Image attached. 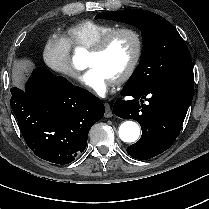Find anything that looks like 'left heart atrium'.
Returning a JSON list of instances; mask_svg holds the SVG:
<instances>
[{
    "label": "left heart atrium",
    "mask_w": 209,
    "mask_h": 209,
    "mask_svg": "<svg viewBox=\"0 0 209 209\" xmlns=\"http://www.w3.org/2000/svg\"><path fill=\"white\" fill-rule=\"evenodd\" d=\"M81 82L98 96H104L116 80L108 77L98 67H90L80 77Z\"/></svg>",
    "instance_id": "1"
}]
</instances>
